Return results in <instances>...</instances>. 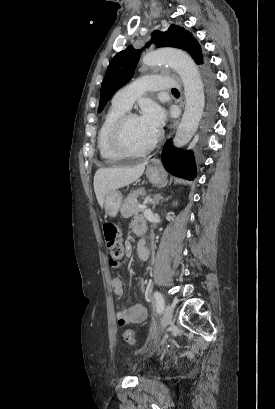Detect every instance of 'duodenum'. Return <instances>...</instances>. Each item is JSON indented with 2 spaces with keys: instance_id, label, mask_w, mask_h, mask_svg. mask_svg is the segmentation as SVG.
<instances>
[{
  "instance_id": "obj_1",
  "label": "duodenum",
  "mask_w": 275,
  "mask_h": 409,
  "mask_svg": "<svg viewBox=\"0 0 275 409\" xmlns=\"http://www.w3.org/2000/svg\"><path fill=\"white\" fill-rule=\"evenodd\" d=\"M145 229H146L145 224L142 223V222L137 223V224L134 226V232H135V234L138 235V236L143 235V234L145 233Z\"/></svg>"
}]
</instances>
